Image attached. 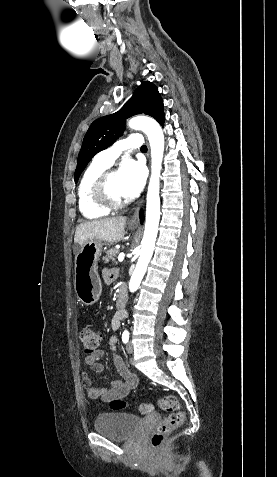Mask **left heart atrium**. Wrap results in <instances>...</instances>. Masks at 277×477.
<instances>
[{"label":"left heart atrium","mask_w":277,"mask_h":477,"mask_svg":"<svg viewBox=\"0 0 277 477\" xmlns=\"http://www.w3.org/2000/svg\"><path fill=\"white\" fill-rule=\"evenodd\" d=\"M117 173L123 197H136L146 181L145 167L135 160L128 159L121 164Z\"/></svg>","instance_id":"obj_1"}]
</instances>
